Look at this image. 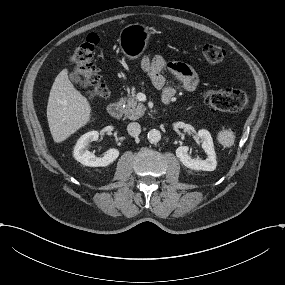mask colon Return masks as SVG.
Instances as JSON below:
<instances>
[{"label":"colon","mask_w":285,"mask_h":285,"mask_svg":"<svg viewBox=\"0 0 285 285\" xmlns=\"http://www.w3.org/2000/svg\"><path fill=\"white\" fill-rule=\"evenodd\" d=\"M98 44V37L90 34L73 52L70 60L74 73L79 77L81 86L92 98H104L108 95V88L102 83L94 64V49ZM203 56L211 65L221 64L226 52L223 48L207 44L203 47ZM204 102L212 109L223 112H239L248 104L247 95L236 89H208L202 93Z\"/></svg>","instance_id":"obj_1"}]
</instances>
